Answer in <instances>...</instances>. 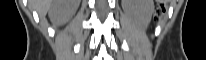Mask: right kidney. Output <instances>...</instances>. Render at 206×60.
<instances>
[{
  "label": "right kidney",
  "instance_id": "obj_1",
  "mask_svg": "<svg viewBox=\"0 0 206 60\" xmlns=\"http://www.w3.org/2000/svg\"><path fill=\"white\" fill-rule=\"evenodd\" d=\"M77 4L65 0L54 2L49 11L50 19L56 24L66 22L74 14Z\"/></svg>",
  "mask_w": 206,
  "mask_h": 60
}]
</instances>
